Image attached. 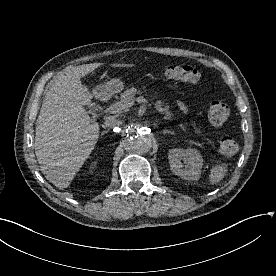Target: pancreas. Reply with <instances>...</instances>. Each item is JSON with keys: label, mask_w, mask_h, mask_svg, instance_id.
<instances>
[{"label": "pancreas", "mask_w": 276, "mask_h": 276, "mask_svg": "<svg viewBox=\"0 0 276 276\" xmlns=\"http://www.w3.org/2000/svg\"><path fill=\"white\" fill-rule=\"evenodd\" d=\"M136 94H141L140 90H137L136 88L132 87L121 93L120 101H134L135 100V95ZM155 108L162 114L165 115L166 119H171L172 114L169 111L168 106H164L162 101H157L155 103Z\"/></svg>", "instance_id": "cf45deb5"}]
</instances>
